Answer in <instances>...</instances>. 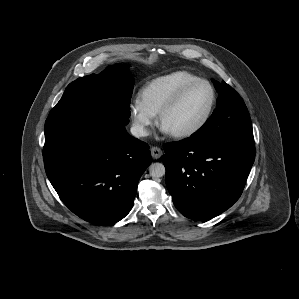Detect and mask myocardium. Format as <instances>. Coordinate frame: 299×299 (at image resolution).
Wrapping results in <instances>:
<instances>
[{
    "instance_id": "myocardium-1",
    "label": "myocardium",
    "mask_w": 299,
    "mask_h": 299,
    "mask_svg": "<svg viewBox=\"0 0 299 299\" xmlns=\"http://www.w3.org/2000/svg\"><path fill=\"white\" fill-rule=\"evenodd\" d=\"M200 84L206 85L209 88L210 93H211V99H210V103L207 108V111L204 114L203 118L195 126L189 128L187 130L181 131V132L170 133L171 136H173L174 138H177V139L189 138L191 136H194L198 132H200L206 126V124L209 122V120L212 116L213 110L216 105L217 94H216L215 88L206 79L199 78L194 81H191V82L185 84L184 86H182L173 95V97L162 107V109L160 110V112L158 114V123L162 127V122H163L164 117L180 102V100L183 98V96L191 88H193L197 85H200Z\"/></svg>"
}]
</instances>
